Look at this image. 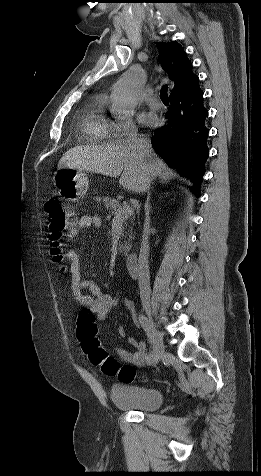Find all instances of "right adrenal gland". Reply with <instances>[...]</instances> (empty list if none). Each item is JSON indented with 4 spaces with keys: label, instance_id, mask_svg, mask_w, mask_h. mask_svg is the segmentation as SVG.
<instances>
[{
    "label": "right adrenal gland",
    "instance_id": "obj_1",
    "mask_svg": "<svg viewBox=\"0 0 261 476\" xmlns=\"http://www.w3.org/2000/svg\"><path fill=\"white\" fill-rule=\"evenodd\" d=\"M149 199H150V194L148 193V196H147V203L149 202Z\"/></svg>",
    "mask_w": 261,
    "mask_h": 476
}]
</instances>
